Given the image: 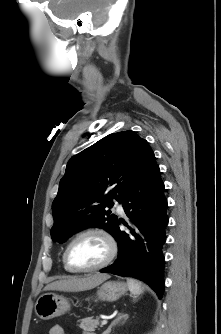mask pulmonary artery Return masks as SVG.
I'll return each mask as SVG.
<instances>
[{"label": "pulmonary artery", "mask_w": 221, "mask_h": 334, "mask_svg": "<svg viewBox=\"0 0 221 334\" xmlns=\"http://www.w3.org/2000/svg\"><path fill=\"white\" fill-rule=\"evenodd\" d=\"M115 208H116V211H117L119 214H121V215L124 214V207H123V205H122L121 202L116 201V202H115Z\"/></svg>", "instance_id": "1"}]
</instances>
